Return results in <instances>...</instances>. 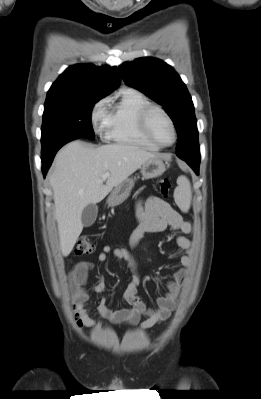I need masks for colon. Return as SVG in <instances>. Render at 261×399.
<instances>
[{"instance_id": "obj_1", "label": "colon", "mask_w": 261, "mask_h": 399, "mask_svg": "<svg viewBox=\"0 0 261 399\" xmlns=\"http://www.w3.org/2000/svg\"><path fill=\"white\" fill-rule=\"evenodd\" d=\"M159 191L162 195L167 196L171 189L170 180L167 177H162L158 180ZM95 244L88 235H81L75 246L76 255H87L94 251ZM74 315L79 320L80 312L77 307L74 308Z\"/></svg>"}]
</instances>
